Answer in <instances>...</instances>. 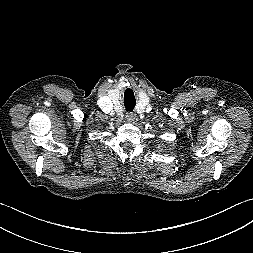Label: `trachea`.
Segmentation results:
<instances>
[{
  "mask_svg": "<svg viewBox=\"0 0 253 253\" xmlns=\"http://www.w3.org/2000/svg\"><path fill=\"white\" fill-rule=\"evenodd\" d=\"M132 109H133V107H131V108H127V110H128V111H132Z\"/></svg>",
  "mask_w": 253,
  "mask_h": 253,
  "instance_id": "trachea-1",
  "label": "trachea"
}]
</instances>
